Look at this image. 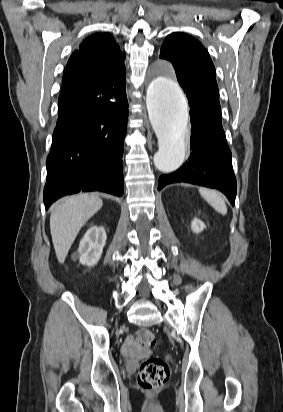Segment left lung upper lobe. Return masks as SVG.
Here are the masks:
<instances>
[{"label": "left lung upper lobe", "mask_w": 283, "mask_h": 412, "mask_svg": "<svg viewBox=\"0 0 283 412\" xmlns=\"http://www.w3.org/2000/svg\"><path fill=\"white\" fill-rule=\"evenodd\" d=\"M160 58L173 64L178 82L187 97L192 96L220 109L215 68L200 42L184 33H172L161 47Z\"/></svg>", "instance_id": "left-lung-upper-lobe-1"}]
</instances>
